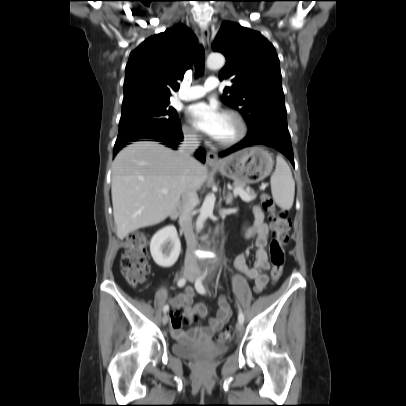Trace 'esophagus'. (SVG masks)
Returning a JSON list of instances; mask_svg holds the SVG:
<instances>
[{"mask_svg": "<svg viewBox=\"0 0 406 406\" xmlns=\"http://www.w3.org/2000/svg\"><path fill=\"white\" fill-rule=\"evenodd\" d=\"M209 37L210 32L207 27L201 29L202 44L206 52L209 51ZM206 162L209 165H216L219 163L218 155L214 151H208L206 155Z\"/></svg>", "mask_w": 406, "mask_h": 406, "instance_id": "34e87169", "label": "esophagus"}]
</instances>
